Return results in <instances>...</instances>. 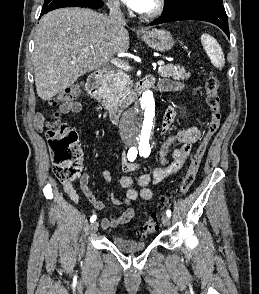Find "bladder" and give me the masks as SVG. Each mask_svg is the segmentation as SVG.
<instances>
[{
  "label": "bladder",
  "mask_w": 259,
  "mask_h": 294,
  "mask_svg": "<svg viewBox=\"0 0 259 294\" xmlns=\"http://www.w3.org/2000/svg\"><path fill=\"white\" fill-rule=\"evenodd\" d=\"M112 244L123 252H138L147 247L146 241H138L133 238L116 234L112 238Z\"/></svg>",
  "instance_id": "bladder-1"
}]
</instances>
